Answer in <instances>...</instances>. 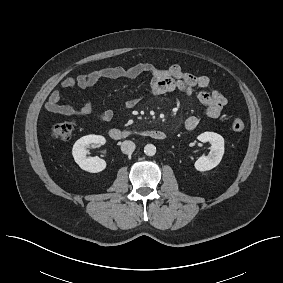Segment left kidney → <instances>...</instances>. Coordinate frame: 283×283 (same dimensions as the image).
I'll list each match as a JSON object with an SVG mask.
<instances>
[{
    "instance_id": "1",
    "label": "left kidney",
    "mask_w": 283,
    "mask_h": 283,
    "mask_svg": "<svg viewBox=\"0 0 283 283\" xmlns=\"http://www.w3.org/2000/svg\"><path fill=\"white\" fill-rule=\"evenodd\" d=\"M197 139L201 142H210V152L207 156L202 155L196 160L194 166L198 171H208L215 168L224 154V138L214 132H204Z\"/></svg>"
}]
</instances>
